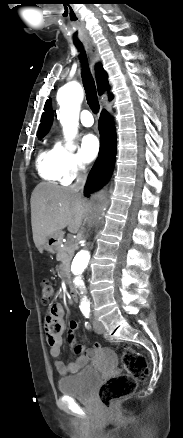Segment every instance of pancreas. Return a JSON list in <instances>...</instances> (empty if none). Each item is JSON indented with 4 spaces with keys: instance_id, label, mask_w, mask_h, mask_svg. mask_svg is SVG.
Returning <instances> with one entry per match:
<instances>
[{
    "instance_id": "pancreas-1",
    "label": "pancreas",
    "mask_w": 183,
    "mask_h": 438,
    "mask_svg": "<svg viewBox=\"0 0 183 438\" xmlns=\"http://www.w3.org/2000/svg\"><path fill=\"white\" fill-rule=\"evenodd\" d=\"M74 255V247L70 242L65 243L64 247H59L57 251V260L61 261L62 264L60 266L63 272L69 270L70 262Z\"/></svg>"
}]
</instances>
